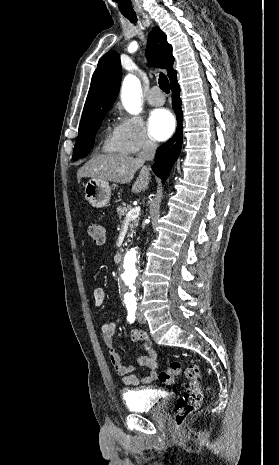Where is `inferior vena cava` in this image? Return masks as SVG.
<instances>
[{
  "label": "inferior vena cava",
  "mask_w": 279,
  "mask_h": 465,
  "mask_svg": "<svg viewBox=\"0 0 279 465\" xmlns=\"http://www.w3.org/2000/svg\"><path fill=\"white\" fill-rule=\"evenodd\" d=\"M157 148V144L152 139H145L143 148L138 155V159L142 162L145 161H152L154 158L155 150Z\"/></svg>",
  "instance_id": "inferior-vena-cava-1"
}]
</instances>
